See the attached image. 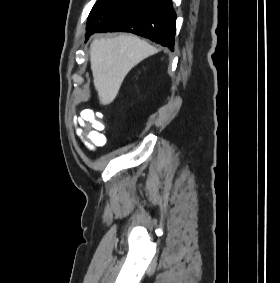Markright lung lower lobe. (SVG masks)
I'll list each match as a JSON object with an SVG mask.
<instances>
[{
    "label": "right lung lower lobe",
    "mask_w": 280,
    "mask_h": 283,
    "mask_svg": "<svg viewBox=\"0 0 280 283\" xmlns=\"http://www.w3.org/2000/svg\"><path fill=\"white\" fill-rule=\"evenodd\" d=\"M115 31L131 32L173 50L176 13L171 0H138L111 16L92 34Z\"/></svg>",
    "instance_id": "right-lung-lower-lobe-1"
}]
</instances>
